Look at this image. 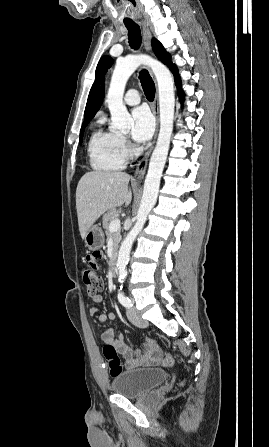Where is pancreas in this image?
<instances>
[{
  "label": "pancreas",
  "mask_w": 269,
  "mask_h": 447,
  "mask_svg": "<svg viewBox=\"0 0 269 447\" xmlns=\"http://www.w3.org/2000/svg\"><path fill=\"white\" fill-rule=\"evenodd\" d=\"M118 218H119V212L118 210H114V208H112V210H109V212H107V214L103 216V229H105V233L107 235V241L109 237H112L113 239L112 255H116L117 253V247L119 245L121 235L120 231H110L109 225L111 224L112 220H118ZM111 261H113V259H109L108 263H111Z\"/></svg>",
  "instance_id": "pancreas-1"
}]
</instances>
